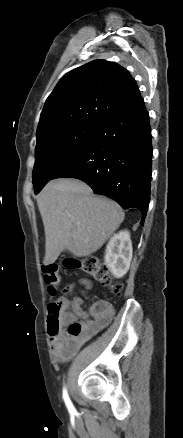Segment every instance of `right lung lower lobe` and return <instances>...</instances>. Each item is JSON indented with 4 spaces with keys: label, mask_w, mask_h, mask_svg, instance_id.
Listing matches in <instances>:
<instances>
[{
    "label": "right lung lower lobe",
    "mask_w": 183,
    "mask_h": 438,
    "mask_svg": "<svg viewBox=\"0 0 183 438\" xmlns=\"http://www.w3.org/2000/svg\"><path fill=\"white\" fill-rule=\"evenodd\" d=\"M151 165L149 115L142 101L99 123L88 144L53 179H80L95 194L112 198L124 209H139L143 225Z\"/></svg>",
    "instance_id": "1"
}]
</instances>
